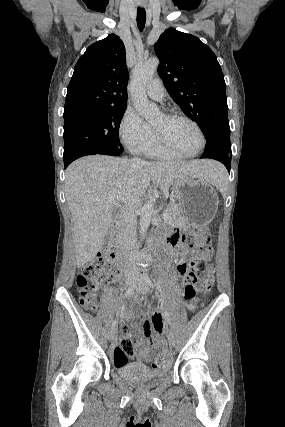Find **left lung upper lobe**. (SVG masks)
Instances as JSON below:
<instances>
[{
	"mask_svg": "<svg viewBox=\"0 0 285 427\" xmlns=\"http://www.w3.org/2000/svg\"><path fill=\"white\" fill-rule=\"evenodd\" d=\"M154 50L167 92L202 132L229 128L226 84L212 50L199 38L173 28L161 34Z\"/></svg>",
	"mask_w": 285,
	"mask_h": 427,
	"instance_id": "5c2ea615",
	"label": "left lung upper lobe"
}]
</instances>
